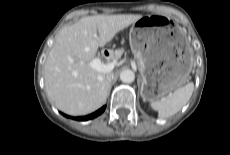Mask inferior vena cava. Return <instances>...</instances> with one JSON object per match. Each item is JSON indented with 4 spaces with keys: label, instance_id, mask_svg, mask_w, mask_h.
Instances as JSON below:
<instances>
[{
    "label": "inferior vena cava",
    "instance_id": "1",
    "mask_svg": "<svg viewBox=\"0 0 230 155\" xmlns=\"http://www.w3.org/2000/svg\"><path fill=\"white\" fill-rule=\"evenodd\" d=\"M112 78H113V75L111 73H108L106 75V79H107L108 82H110Z\"/></svg>",
    "mask_w": 230,
    "mask_h": 155
}]
</instances>
